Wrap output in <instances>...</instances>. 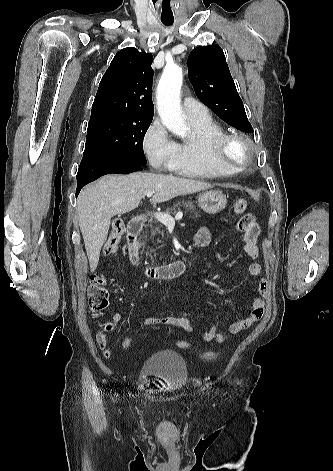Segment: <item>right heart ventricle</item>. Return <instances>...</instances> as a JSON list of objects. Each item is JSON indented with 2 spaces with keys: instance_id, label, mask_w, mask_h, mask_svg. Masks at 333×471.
<instances>
[{
  "instance_id": "right-heart-ventricle-1",
  "label": "right heart ventricle",
  "mask_w": 333,
  "mask_h": 471,
  "mask_svg": "<svg viewBox=\"0 0 333 471\" xmlns=\"http://www.w3.org/2000/svg\"><path fill=\"white\" fill-rule=\"evenodd\" d=\"M188 121L193 135L189 140L176 143L170 170L181 176L204 179L236 173V170L220 164L215 157V146L226 134L221 124L209 114Z\"/></svg>"
}]
</instances>
